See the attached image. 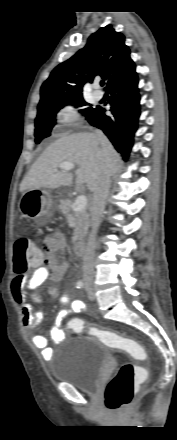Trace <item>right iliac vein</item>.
I'll list each match as a JSON object with an SVG mask.
<instances>
[{"mask_svg": "<svg viewBox=\"0 0 177 440\" xmlns=\"http://www.w3.org/2000/svg\"><path fill=\"white\" fill-rule=\"evenodd\" d=\"M87 288L88 289H92V286H91V284L89 282L87 283Z\"/></svg>", "mask_w": 177, "mask_h": 440, "instance_id": "63e3f726", "label": "right iliac vein"}]
</instances>
